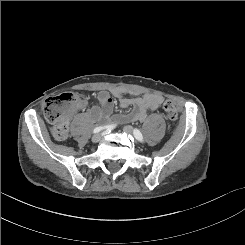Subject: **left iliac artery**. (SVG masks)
I'll list each match as a JSON object with an SVG mask.
<instances>
[{
    "instance_id": "1",
    "label": "left iliac artery",
    "mask_w": 245,
    "mask_h": 245,
    "mask_svg": "<svg viewBox=\"0 0 245 245\" xmlns=\"http://www.w3.org/2000/svg\"><path fill=\"white\" fill-rule=\"evenodd\" d=\"M133 134H134L135 138H136L138 141H140V142H143V141H144V140H143L142 133L140 132L139 129L135 128Z\"/></svg>"
}]
</instances>
